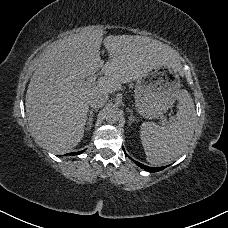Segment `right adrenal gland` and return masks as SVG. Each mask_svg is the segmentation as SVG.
<instances>
[{"label": "right adrenal gland", "instance_id": "1", "mask_svg": "<svg viewBox=\"0 0 228 228\" xmlns=\"http://www.w3.org/2000/svg\"><path fill=\"white\" fill-rule=\"evenodd\" d=\"M95 111H97V109H95ZM93 114H94V110H90V111L88 112V115H87L88 117H87V121H86L85 125H89V127L86 128V129H88V130H90L91 127H92V123H93Z\"/></svg>", "mask_w": 228, "mask_h": 228}]
</instances>
